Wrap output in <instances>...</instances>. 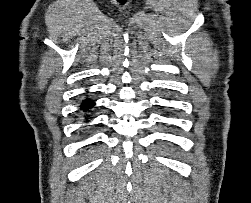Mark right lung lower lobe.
<instances>
[{
    "instance_id": "98d812e1",
    "label": "right lung lower lobe",
    "mask_w": 251,
    "mask_h": 203,
    "mask_svg": "<svg viewBox=\"0 0 251 203\" xmlns=\"http://www.w3.org/2000/svg\"><path fill=\"white\" fill-rule=\"evenodd\" d=\"M95 102L91 100L88 96L82 100L80 104V111L84 114V121L88 122L89 119H92L90 116L91 109L94 107Z\"/></svg>"
}]
</instances>
